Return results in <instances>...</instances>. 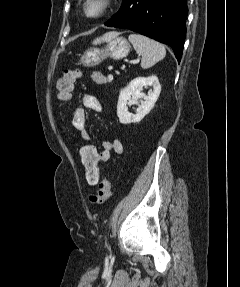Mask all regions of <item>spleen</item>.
<instances>
[{
	"label": "spleen",
	"mask_w": 240,
	"mask_h": 287,
	"mask_svg": "<svg viewBox=\"0 0 240 287\" xmlns=\"http://www.w3.org/2000/svg\"><path fill=\"white\" fill-rule=\"evenodd\" d=\"M136 52L142 56L141 67L148 69L166 56V49L161 43L138 33L128 37Z\"/></svg>",
	"instance_id": "1"
}]
</instances>
